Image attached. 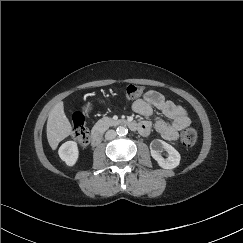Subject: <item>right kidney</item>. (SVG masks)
<instances>
[{
    "label": "right kidney",
    "mask_w": 243,
    "mask_h": 243,
    "mask_svg": "<svg viewBox=\"0 0 243 243\" xmlns=\"http://www.w3.org/2000/svg\"><path fill=\"white\" fill-rule=\"evenodd\" d=\"M59 157L68 166H74L79 157L77 143L74 141H67L59 148Z\"/></svg>",
    "instance_id": "1"
}]
</instances>
